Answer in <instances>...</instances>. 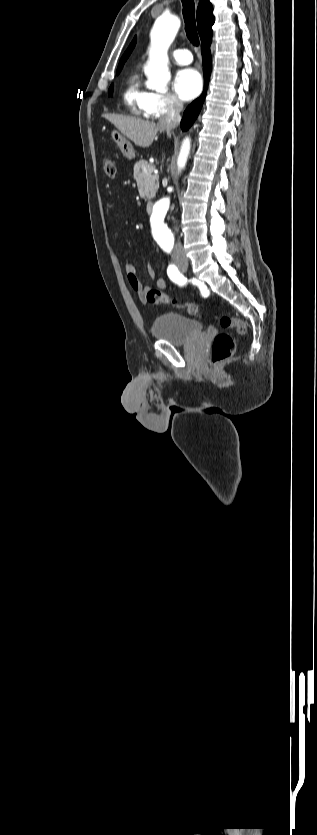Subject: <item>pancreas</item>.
<instances>
[{"instance_id":"obj_1","label":"pancreas","mask_w":317,"mask_h":835,"mask_svg":"<svg viewBox=\"0 0 317 835\" xmlns=\"http://www.w3.org/2000/svg\"><path fill=\"white\" fill-rule=\"evenodd\" d=\"M148 168V172L143 169ZM153 165L145 160H141L134 165V179L136 180L140 197L145 200H150L155 197L159 188L158 176L152 174Z\"/></svg>"}]
</instances>
